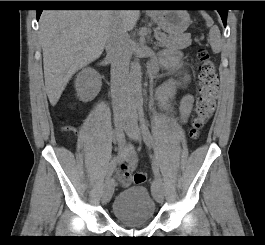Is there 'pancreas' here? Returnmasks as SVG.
<instances>
[{"instance_id": "1", "label": "pancreas", "mask_w": 265, "mask_h": 245, "mask_svg": "<svg viewBox=\"0 0 265 245\" xmlns=\"http://www.w3.org/2000/svg\"><path fill=\"white\" fill-rule=\"evenodd\" d=\"M164 42H160L161 46L169 49H185L191 45L190 35L182 34L178 36L166 35L159 33Z\"/></svg>"}]
</instances>
